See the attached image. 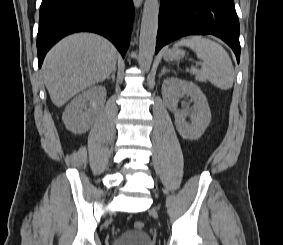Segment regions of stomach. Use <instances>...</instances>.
I'll use <instances>...</instances> for the list:
<instances>
[{
	"label": "stomach",
	"instance_id": "0dacf381",
	"mask_svg": "<svg viewBox=\"0 0 283 245\" xmlns=\"http://www.w3.org/2000/svg\"><path fill=\"white\" fill-rule=\"evenodd\" d=\"M185 52L178 48L168 49L164 53V58L166 61H178L183 58Z\"/></svg>",
	"mask_w": 283,
	"mask_h": 245
}]
</instances>
